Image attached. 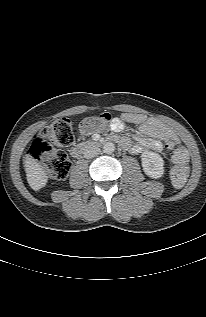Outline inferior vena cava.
Listing matches in <instances>:
<instances>
[{
  "label": "inferior vena cava",
  "instance_id": "602c4592",
  "mask_svg": "<svg viewBox=\"0 0 206 317\" xmlns=\"http://www.w3.org/2000/svg\"><path fill=\"white\" fill-rule=\"evenodd\" d=\"M100 153V148L95 145H87L83 149V156L87 159L93 158Z\"/></svg>",
  "mask_w": 206,
  "mask_h": 317
}]
</instances>
